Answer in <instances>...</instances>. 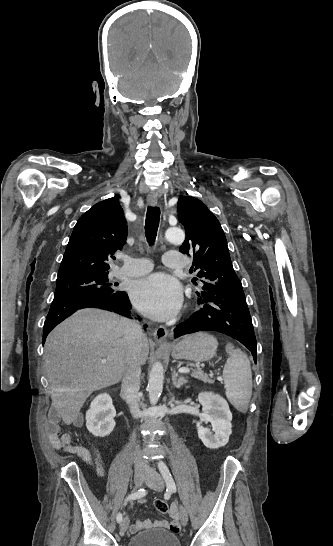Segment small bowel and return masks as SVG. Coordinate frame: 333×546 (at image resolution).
Wrapping results in <instances>:
<instances>
[{"label":"small bowel","instance_id":"obj_1","mask_svg":"<svg viewBox=\"0 0 333 546\" xmlns=\"http://www.w3.org/2000/svg\"><path fill=\"white\" fill-rule=\"evenodd\" d=\"M60 419L59 417H52L50 418L48 422L47 432H48V439L50 444L53 447L56 448H62L65 450H68L72 453L77 454L82 458V460L92 466L97 473L101 474L103 472L102 467V461L100 459V455L98 450L93 447L92 451H88L83 446L74 445L72 443L71 437L69 434L61 433L60 428ZM80 421H75L74 425H79ZM178 508L176 504H173L170 508V516L172 518V523H169L166 520H162L157 522V525L162 527H171V530L174 532H178L179 525H178ZM153 523L150 520L141 521L137 520L134 524H132L129 528V531L131 533H135L145 527L151 526Z\"/></svg>","mask_w":333,"mask_h":546}]
</instances>
